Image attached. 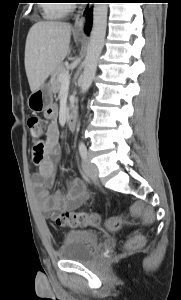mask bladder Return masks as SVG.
I'll return each instance as SVG.
<instances>
[{
    "label": "bladder",
    "instance_id": "obj_1",
    "mask_svg": "<svg viewBox=\"0 0 181 300\" xmlns=\"http://www.w3.org/2000/svg\"><path fill=\"white\" fill-rule=\"evenodd\" d=\"M99 233L88 229L70 230L61 246V258L66 261H83L91 257L99 246Z\"/></svg>",
    "mask_w": 181,
    "mask_h": 300
}]
</instances>
